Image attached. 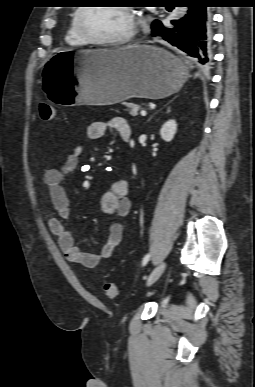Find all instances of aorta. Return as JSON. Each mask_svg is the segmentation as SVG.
<instances>
[{"label":"aorta","instance_id":"obj_1","mask_svg":"<svg viewBox=\"0 0 255 387\" xmlns=\"http://www.w3.org/2000/svg\"><path fill=\"white\" fill-rule=\"evenodd\" d=\"M186 11H187V8H186V7H181V8H180V13H181L182 15H184V14L186 13Z\"/></svg>","mask_w":255,"mask_h":387}]
</instances>
